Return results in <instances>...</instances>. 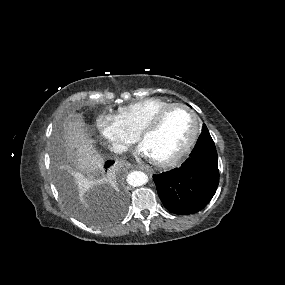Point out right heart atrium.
I'll list each match as a JSON object with an SVG mask.
<instances>
[{
    "instance_id": "obj_1",
    "label": "right heart atrium",
    "mask_w": 285,
    "mask_h": 285,
    "mask_svg": "<svg viewBox=\"0 0 285 285\" xmlns=\"http://www.w3.org/2000/svg\"><path fill=\"white\" fill-rule=\"evenodd\" d=\"M96 128L101 137L118 151L126 150L137 139V133L129 129L118 115L99 116Z\"/></svg>"
}]
</instances>
